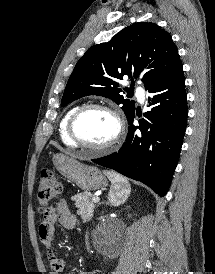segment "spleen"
I'll use <instances>...</instances> for the list:
<instances>
[{
    "mask_svg": "<svg viewBox=\"0 0 215 274\" xmlns=\"http://www.w3.org/2000/svg\"><path fill=\"white\" fill-rule=\"evenodd\" d=\"M104 174L111 181V188L109 192V201L112 205H119L122 196L130 190L128 180L114 171H104Z\"/></svg>",
    "mask_w": 215,
    "mask_h": 274,
    "instance_id": "1",
    "label": "spleen"
}]
</instances>
